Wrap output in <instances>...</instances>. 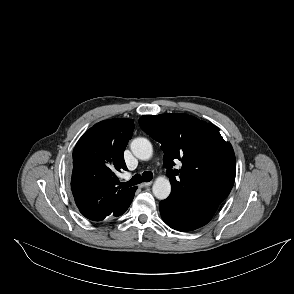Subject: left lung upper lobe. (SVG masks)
I'll return each instance as SVG.
<instances>
[{
    "instance_id": "left-lung-upper-lobe-1",
    "label": "left lung upper lobe",
    "mask_w": 294,
    "mask_h": 294,
    "mask_svg": "<svg viewBox=\"0 0 294 294\" xmlns=\"http://www.w3.org/2000/svg\"><path fill=\"white\" fill-rule=\"evenodd\" d=\"M139 124L161 143L171 193L219 206L230 193L236 174L233 148L219 129L183 113L144 115ZM175 159L182 161L179 170L171 169Z\"/></svg>"
}]
</instances>
